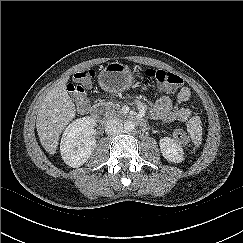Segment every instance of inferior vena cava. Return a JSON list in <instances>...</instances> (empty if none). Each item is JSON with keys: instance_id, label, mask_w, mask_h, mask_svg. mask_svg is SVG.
Masks as SVG:
<instances>
[{"instance_id": "1", "label": "inferior vena cava", "mask_w": 243, "mask_h": 243, "mask_svg": "<svg viewBox=\"0 0 243 243\" xmlns=\"http://www.w3.org/2000/svg\"><path fill=\"white\" fill-rule=\"evenodd\" d=\"M123 130V124L122 122L117 119V118H114V119H109L107 122H106V125H105V132L109 135H117L119 133H121Z\"/></svg>"}]
</instances>
